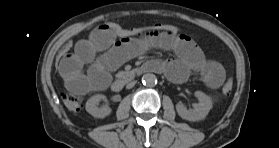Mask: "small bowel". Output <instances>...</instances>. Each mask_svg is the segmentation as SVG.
<instances>
[{"instance_id": "small-bowel-1", "label": "small bowel", "mask_w": 279, "mask_h": 148, "mask_svg": "<svg viewBox=\"0 0 279 148\" xmlns=\"http://www.w3.org/2000/svg\"><path fill=\"white\" fill-rule=\"evenodd\" d=\"M154 49L173 51L176 54V59L149 61L174 82L198 75L208 87L218 88L225 79L223 67L208 60L198 44L185 33L159 32L118 38L103 24L79 40L74 50L61 58L58 72L72 93L101 91L108 86L112 70Z\"/></svg>"}]
</instances>
